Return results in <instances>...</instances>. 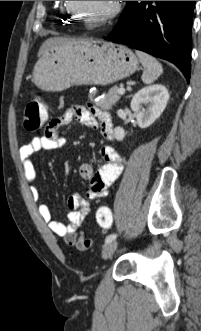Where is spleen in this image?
<instances>
[{"label": "spleen", "instance_id": "3e777b00", "mask_svg": "<svg viewBox=\"0 0 201 331\" xmlns=\"http://www.w3.org/2000/svg\"><path fill=\"white\" fill-rule=\"evenodd\" d=\"M136 55L144 67L142 81L145 84L153 83L163 73L161 63L153 56L139 50H136Z\"/></svg>", "mask_w": 201, "mask_h": 331}]
</instances>
